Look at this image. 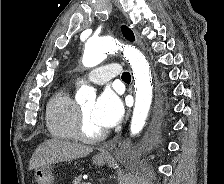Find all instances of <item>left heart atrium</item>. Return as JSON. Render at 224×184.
Segmentation results:
<instances>
[{"label": "left heart atrium", "instance_id": "1", "mask_svg": "<svg viewBox=\"0 0 224 184\" xmlns=\"http://www.w3.org/2000/svg\"><path fill=\"white\" fill-rule=\"evenodd\" d=\"M123 107L118 97L111 92L102 93L92 108L93 120L103 129L114 127L121 119Z\"/></svg>", "mask_w": 224, "mask_h": 184}]
</instances>
